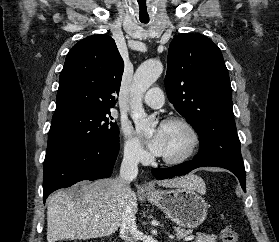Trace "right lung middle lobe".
<instances>
[{
	"label": "right lung middle lobe",
	"mask_w": 279,
	"mask_h": 242,
	"mask_svg": "<svg viewBox=\"0 0 279 242\" xmlns=\"http://www.w3.org/2000/svg\"><path fill=\"white\" fill-rule=\"evenodd\" d=\"M109 110L77 109L53 115L45 159L81 147L119 143Z\"/></svg>",
	"instance_id": "1"
}]
</instances>
